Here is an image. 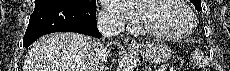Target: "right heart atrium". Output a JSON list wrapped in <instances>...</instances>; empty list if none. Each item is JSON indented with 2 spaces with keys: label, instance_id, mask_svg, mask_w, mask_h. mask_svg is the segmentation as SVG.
<instances>
[{
  "label": "right heart atrium",
  "instance_id": "right-heart-atrium-1",
  "mask_svg": "<svg viewBox=\"0 0 230 71\" xmlns=\"http://www.w3.org/2000/svg\"><path fill=\"white\" fill-rule=\"evenodd\" d=\"M101 18L107 25H110V26L120 27L123 24V21L121 20V18L118 15L113 14V13L108 12V11L102 12Z\"/></svg>",
  "mask_w": 230,
  "mask_h": 71
}]
</instances>
